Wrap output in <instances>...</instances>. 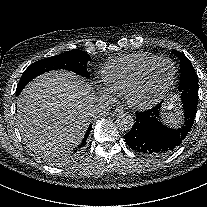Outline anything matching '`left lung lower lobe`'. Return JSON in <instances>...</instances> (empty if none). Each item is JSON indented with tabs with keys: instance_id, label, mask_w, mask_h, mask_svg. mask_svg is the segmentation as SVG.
Instances as JSON below:
<instances>
[{
	"instance_id": "obj_1",
	"label": "left lung lower lobe",
	"mask_w": 207,
	"mask_h": 207,
	"mask_svg": "<svg viewBox=\"0 0 207 207\" xmlns=\"http://www.w3.org/2000/svg\"><path fill=\"white\" fill-rule=\"evenodd\" d=\"M184 125L171 129L161 121V103L155 107L136 112V120L131 130L125 135V141L133 150L146 155H164L179 146L191 130L197 110V103L182 102Z\"/></svg>"
}]
</instances>
